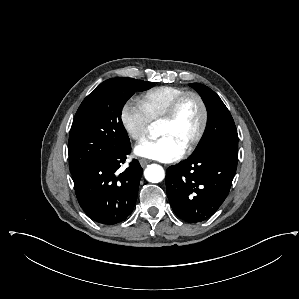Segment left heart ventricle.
Wrapping results in <instances>:
<instances>
[{
    "mask_svg": "<svg viewBox=\"0 0 299 299\" xmlns=\"http://www.w3.org/2000/svg\"><path fill=\"white\" fill-rule=\"evenodd\" d=\"M201 122V108L194 98L187 99L182 105L174 122L160 123L158 134L173 139L183 149L196 135Z\"/></svg>",
    "mask_w": 299,
    "mask_h": 299,
    "instance_id": "b2bd125f",
    "label": "left heart ventricle"
}]
</instances>
